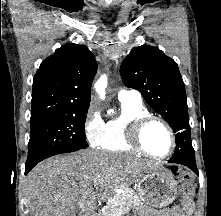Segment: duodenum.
<instances>
[{"mask_svg": "<svg viewBox=\"0 0 221 216\" xmlns=\"http://www.w3.org/2000/svg\"><path fill=\"white\" fill-rule=\"evenodd\" d=\"M88 216H97V215H96L95 211H92V212L89 213Z\"/></svg>", "mask_w": 221, "mask_h": 216, "instance_id": "obj_1", "label": "duodenum"}]
</instances>
